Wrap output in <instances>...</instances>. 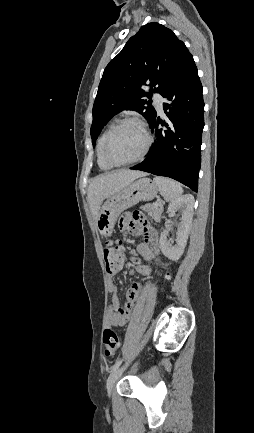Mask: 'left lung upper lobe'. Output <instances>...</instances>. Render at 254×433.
<instances>
[{
	"label": "left lung upper lobe",
	"mask_w": 254,
	"mask_h": 433,
	"mask_svg": "<svg viewBox=\"0 0 254 433\" xmlns=\"http://www.w3.org/2000/svg\"><path fill=\"white\" fill-rule=\"evenodd\" d=\"M187 52L169 28L156 22L142 26L104 70L93 106V145L104 125L123 110L138 111L150 124L156 111L144 98L152 97L156 85L154 91L163 92Z\"/></svg>",
	"instance_id": "5c2ea615"
}]
</instances>
